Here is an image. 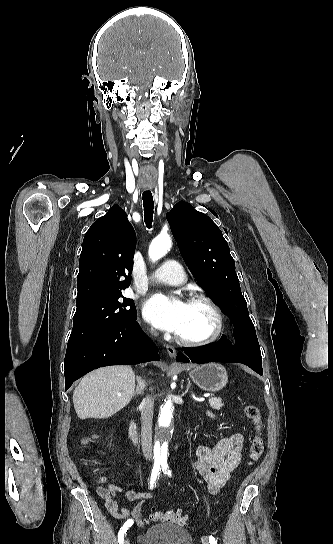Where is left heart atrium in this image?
Instances as JSON below:
<instances>
[{
    "label": "left heart atrium",
    "instance_id": "obj_1",
    "mask_svg": "<svg viewBox=\"0 0 333 544\" xmlns=\"http://www.w3.org/2000/svg\"><path fill=\"white\" fill-rule=\"evenodd\" d=\"M187 304L180 299H169L164 295H154L144 307V317L155 327L178 333Z\"/></svg>",
    "mask_w": 333,
    "mask_h": 544
}]
</instances>
